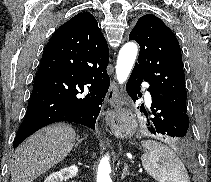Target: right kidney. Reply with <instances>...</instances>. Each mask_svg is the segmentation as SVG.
Instances as JSON below:
<instances>
[{
	"label": "right kidney",
	"mask_w": 211,
	"mask_h": 182,
	"mask_svg": "<svg viewBox=\"0 0 211 182\" xmlns=\"http://www.w3.org/2000/svg\"><path fill=\"white\" fill-rule=\"evenodd\" d=\"M78 175V167L72 165L68 168L61 169L58 172L49 175L44 182H62L63 180L76 177Z\"/></svg>",
	"instance_id": "1"
}]
</instances>
